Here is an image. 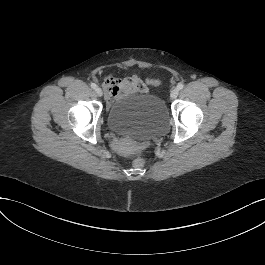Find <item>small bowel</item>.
<instances>
[{"label": "small bowel", "mask_w": 265, "mask_h": 265, "mask_svg": "<svg viewBox=\"0 0 265 265\" xmlns=\"http://www.w3.org/2000/svg\"><path fill=\"white\" fill-rule=\"evenodd\" d=\"M150 81H143L137 75L120 78L116 76L106 77L103 87L109 102L133 93L147 92Z\"/></svg>", "instance_id": "1"}]
</instances>
